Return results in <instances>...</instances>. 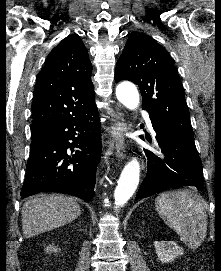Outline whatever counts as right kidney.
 Wrapping results in <instances>:
<instances>
[{"instance_id":"1","label":"right kidney","mask_w":221,"mask_h":271,"mask_svg":"<svg viewBox=\"0 0 221 271\" xmlns=\"http://www.w3.org/2000/svg\"><path fill=\"white\" fill-rule=\"evenodd\" d=\"M57 249V245H47V247H45V251H57Z\"/></svg>"}]
</instances>
